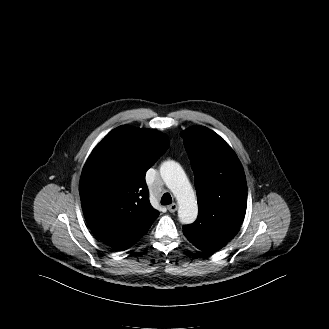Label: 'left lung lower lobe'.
I'll use <instances>...</instances> for the list:
<instances>
[{"mask_svg": "<svg viewBox=\"0 0 329 329\" xmlns=\"http://www.w3.org/2000/svg\"><path fill=\"white\" fill-rule=\"evenodd\" d=\"M185 234V231L183 230ZM236 233L229 232V231H221L219 233L218 238L215 240H206V241H194L189 240L196 246L198 249L204 251L207 255L213 254L214 252L221 249L226 243L235 235Z\"/></svg>", "mask_w": 329, "mask_h": 329, "instance_id": "1", "label": "left lung lower lobe"}]
</instances>
